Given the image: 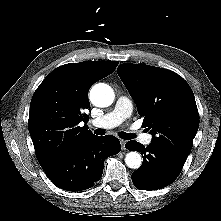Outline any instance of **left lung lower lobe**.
<instances>
[{
  "label": "left lung lower lobe",
  "instance_id": "obj_1",
  "mask_svg": "<svg viewBox=\"0 0 221 221\" xmlns=\"http://www.w3.org/2000/svg\"><path fill=\"white\" fill-rule=\"evenodd\" d=\"M125 147L143 155L142 166L132 174V181L140 190H157L168 186L178 177L185 163L152 143L145 148L137 141L130 140Z\"/></svg>",
  "mask_w": 221,
  "mask_h": 221
}]
</instances>
